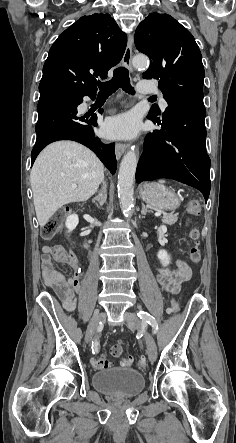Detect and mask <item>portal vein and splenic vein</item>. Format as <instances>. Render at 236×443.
I'll list each match as a JSON object with an SVG mask.
<instances>
[{"mask_svg": "<svg viewBox=\"0 0 236 443\" xmlns=\"http://www.w3.org/2000/svg\"><path fill=\"white\" fill-rule=\"evenodd\" d=\"M77 187V185H72V188H76ZM161 215V213L160 212H157V213H155V216H160Z\"/></svg>", "mask_w": 236, "mask_h": 443, "instance_id": "18ae733b", "label": "portal vein and splenic vein"}]
</instances>
